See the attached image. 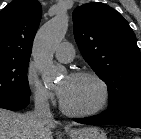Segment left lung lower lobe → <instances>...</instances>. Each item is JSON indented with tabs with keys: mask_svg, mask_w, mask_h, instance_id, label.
I'll return each instance as SVG.
<instances>
[{
	"mask_svg": "<svg viewBox=\"0 0 141 139\" xmlns=\"http://www.w3.org/2000/svg\"><path fill=\"white\" fill-rule=\"evenodd\" d=\"M75 121L89 125L111 124L141 128V97L128 99L97 116L75 119Z\"/></svg>",
	"mask_w": 141,
	"mask_h": 139,
	"instance_id": "0a47b994",
	"label": "left lung lower lobe"
}]
</instances>
